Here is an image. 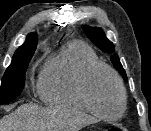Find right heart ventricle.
Returning <instances> with one entry per match:
<instances>
[{
  "instance_id": "right-heart-ventricle-1",
  "label": "right heart ventricle",
  "mask_w": 151,
  "mask_h": 131,
  "mask_svg": "<svg viewBox=\"0 0 151 131\" xmlns=\"http://www.w3.org/2000/svg\"><path fill=\"white\" fill-rule=\"evenodd\" d=\"M99 62L86 43L73 40L45 64L39 82L41 99L50 105L88 110L79 94V82L86 69Z\"/></svg>"
}]
</instances>
